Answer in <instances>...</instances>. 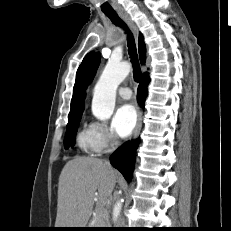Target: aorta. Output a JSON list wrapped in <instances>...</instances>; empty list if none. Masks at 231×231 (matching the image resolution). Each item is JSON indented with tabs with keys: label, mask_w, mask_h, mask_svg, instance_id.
I'll return each mask as SVG.
<instances>
[{
	"label": "aorta",
	"mask_w": 231,
	"mask_h": 231,
	"mask_svg": "<svg viewBox=\"0 0 231 231\" xmlns=\"http://www.w3.org/2000/svg\"><path fill=\"white\" fill-rule=\"evenodd\" d=\"M130 68L128 62L108 61L94 88L92 112L97 119L106 121L112 116L116 90L130 73ZM121 206L122 201H117L113 209V220L117 219Z\"/></svg>",
	"instance_id": "obj_1"
}]
</instances>
